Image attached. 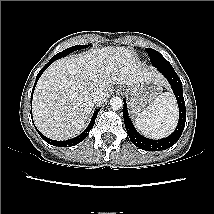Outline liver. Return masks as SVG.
Segmentation results:
<instances>
[{
  "label": "liver",
  "mask_w": 214,
  "mask_h": 214,
  "mask_svg": "<svg viewBox=\"0 0 214 214\" xmlns=\"http://www.w3.org/2000/svg\"><path fill=\"white\" fill-rule=\"evenodd\" d=\"M162 81L152 68L136 61L127 47L108 46L55 61L37 82L33 119L37 128L54 140L80 134L95 104L88 94L102 90L109 95L116 85L134 86L146 80Z\"/></svg>",
  "instance_id": "1"
}]
</instances>
